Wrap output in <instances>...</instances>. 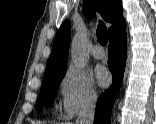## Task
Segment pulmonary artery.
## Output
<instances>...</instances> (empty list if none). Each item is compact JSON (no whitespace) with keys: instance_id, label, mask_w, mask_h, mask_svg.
I'll use <instances>...</instances> for the list:
<instances>
[{"instance_id":"obj_1","label":"pulmonary artery","mask_w":156,"mask_h":124,"mask_svg":"<svg viewBox=\"0 0 156 124\" xmlns=\"http://www.w3.org/2000/svg\"><path fill=\"white\" fill-rule=\"evenodd\" d=\"M91 54L94 58L96 59H101L104 57V50L101 46L99 45H95L92 49H91Z\"/></svg>"}]
</instances>
